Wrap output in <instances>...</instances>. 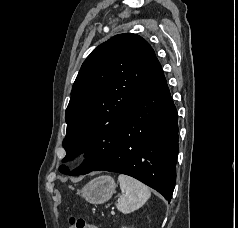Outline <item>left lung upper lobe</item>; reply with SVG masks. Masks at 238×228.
Here are the masks:
<instances>
[{"label": "left lung upper lobe", "mask_w": 238, "mask_h": 228, "mask_svg": "<svg viewBox=\"0 0 238 228\" xmlns=\"http://www.w3.org/2000/svg\"><path fill=\"white\" fill-rule=\"evenodd\" d=\"M156 60L148 42L131 33L116 35L90 53L72 87L63 140L66 150L63 162L83 151L87 158L71 172L62 165L61 173L89 172L112 156L119 130Z\"/></svg>", "instance_id": "obj_1"}]
</instances>
